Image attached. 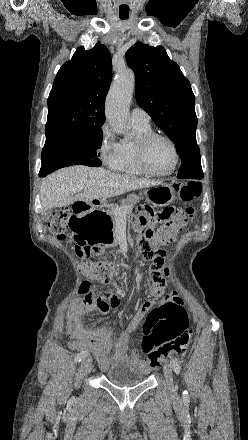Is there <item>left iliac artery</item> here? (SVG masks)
<instances>
[{
  "mask_svg": "<svg viewBox=\"0 0 248 440\" xmlns=\"http://www.w3.org/2000/svg\"><path fill=\"white\" fill-rule=\"evenodd\" d=\"M170 363H171V366H172L174 372H175L176 374H179L180 371H181V365H180L179 360H178L177 358H172L171 361H170ZM183 395H184V397H187V396H188V392H187V391H184V392H183Z\"/></svg>",
  "mask_w": 248,
  "mask_h": 440,
  "instance_id": "obj_1",
  "label": "left iliac artery"
}]
</instances>
